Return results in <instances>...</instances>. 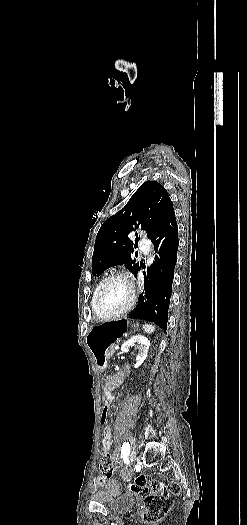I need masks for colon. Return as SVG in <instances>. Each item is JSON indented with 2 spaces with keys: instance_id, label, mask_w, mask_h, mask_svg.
Segmentation results:
<instances>
[{
  "instance_id": "1",
  "label": "colon",
  "mask_w": 247,
  "mask_h": 525,
  "mask_svg": "<svg viewBox=\"0 0 247 525\" xmlns=\"http://www.w3.org/2000/svg\"><path fill=\"white\" fill-rule=\"evenodd\" d=\"M102 389L109 387L107 380L100 382ZM101 414L100 424L106 427V419L111 413L108 402L103 401L99 405ZM100 472L104 477L111 478L114 475V464L110 454L105 453L101 456ZM128 490L135 496L142 499L143 507L141 510V519L146 523L156 524L161 522L168 514L171 508V497L181 493V486L178 482L158 483L147 475H139L128 485Z\"/></svg>"
}]
</instances>
